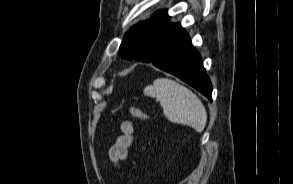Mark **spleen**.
<instances>
[{"label": "spleen", "instance_id": "obj_1", "mask_svg": "<svg viewBox=\"0 0 293 184\" xmlns=\"http://www.w3.org/2000/svg\"><path fill=\"white\" fill-rule=\"evenodd\" d=\"M144 94L160 101L166 118L188 125L202 132L207 122V112L201 100L187 87L168 78H159L143 90Z\"/></svg>", "mask_w": 293, "mask_h": 184}]
</instances>
